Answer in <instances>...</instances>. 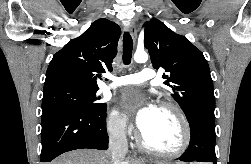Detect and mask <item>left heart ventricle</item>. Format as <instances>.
<instances>
[{
  "instance_id": "b2bd125f",
  "label": "left heart ventricle",
  "mask_w": 251,
  "mask_h": 164,
  "mask_svg": "<svg viewBox=\"0 0 251 164\" xmlns=\"http://www.w3.org/2000/svg\"><path fill=\"white\" fill-rule=\"evenodd\" d=\"M142 135L149 146L164 151L175 150L182 140L181 126L174 113L158 107Z\"/></svg>"
}]
</instances>
